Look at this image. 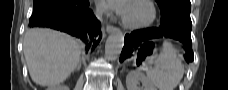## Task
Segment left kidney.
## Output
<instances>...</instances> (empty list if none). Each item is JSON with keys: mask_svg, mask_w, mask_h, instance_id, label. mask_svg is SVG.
Here are the masks:
<instances>
[{"mask_svg": "<svg viewBox=\"0 0 228 90\" xmlns=\"http://www.w3.org/2000/svg\"><path fill=\"white\" fill-rule=\"evenodd\" d=\"M139 82L144 87L143 90H157L155 86L139 71H131L126 77L127 90H141L138 87Z\"/></svg>", "mask_w": 228, "mask_h": 90, "instance_id": "left-kidney-1", "label": "left kidney"}]
</instances>
